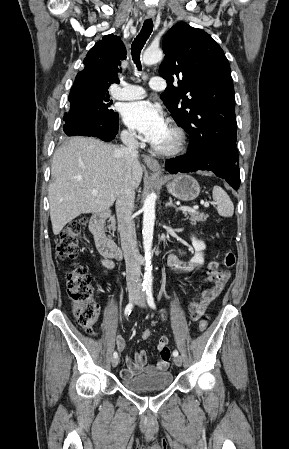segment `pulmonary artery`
<instances>
[{"label": "pulmonary artery", "instance_id": "obj_1", "mask_svg": "<svg viewBox=\"0 0 289 449\" xmlns=\"http://www.w3.org/2000/svg\"><path fill=\"white\" fill-rule=\"evenodd\" d=\"M153 90H163L166 86L165 80L162 77H153L149 82ZM112 97L118 100H134L142 98L145 91L138 85L122 82L121 86L115 87L112 92Z\"/></svg>", "mask_w": 289, "mask_h": 449}]
</instances>
